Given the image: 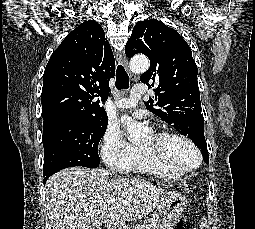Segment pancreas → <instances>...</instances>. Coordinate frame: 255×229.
Segmentation results:
<instances>
[{
  "mask_svg": "<svg viewBox=\"0 0 255 229\" xmlns=\"http://www.w3.org/2000/svg\"><path fill=\"white\" fill-rule=\"evenodd\" d=\"M131 229H151V227L150 225L144 223L133 226Z\"/></svg>",
  "mask_w": 255,
  "mask_h": 229,
  "instance_id": "pancreas-1",
  "label": "pancreas"
}]
</instances>
